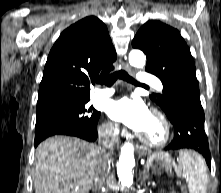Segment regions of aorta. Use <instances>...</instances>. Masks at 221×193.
I'll use <instances>...</instances> for the list:
<instances>
[{
  "mask_svg": "<svg viewBox=\"0 0 221 193\" xmlns=\"http://www.w3.org/2000/svg\"><path fill=\"white\" fill-rule=\"evenodd\" d=\"M128 59L133 67L143 68L146 64V56L140 50H132L129 53ZM134 165V147L131 143L127 142L121 148V154L117 162V175L122 186L130 187L133 184L132 169Z\"/></svg>",
  "mask_w": 221,
  "mask_h": 193,
  "instance_id": "762f6f07",
  "label": "aorta"
}]
</instances>
